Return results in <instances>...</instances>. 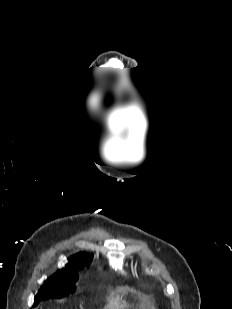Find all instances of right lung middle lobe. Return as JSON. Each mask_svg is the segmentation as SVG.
<instances>
[{"mask_svg":"<svg viewBox=\"0 0 232 309\" xmlns=\"http://www.w3.org/2000/svg\"><path fill=\"white\" fill-rule=\"evenodd\" d=\"M74 289L75 282H60L53 284L44 283L35 296L33 306H37L40 301L45 299L58 298L64 294L68 295L70 292L74 291Z\"/></svg>","mask_w":232,"mask_h":309,"instance_id":"obj_1","label":"right lung middle lobe"}]
</instances>
